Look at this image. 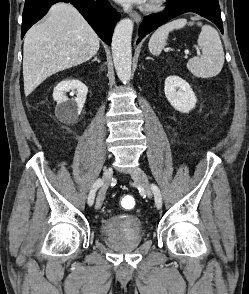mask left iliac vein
Returning a JSON list of instances; mask_svg holds the SVG:
<instances>
[{
  "label": "left iliac vein",
  "instance_id": "obj_1",
  "mask_svg": "<svg viewBox=\"0 0 249 294\" xmlns=\"http://www.w3.org/2000/svg\"><path fill=\"white\" fill-rule=\"evenodd\" d=\"M133 180L142 185L143 190L145 191L148 198H152L153 191L149 183L148 176L146 173L139 167L135 168L131 174Z\"/></svg>",
  "mask_w": 249,
  "mask_h": 294
}]
</instances>
